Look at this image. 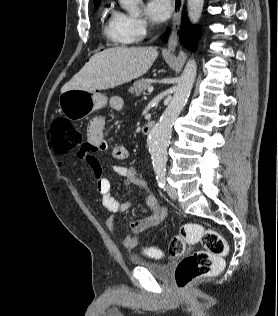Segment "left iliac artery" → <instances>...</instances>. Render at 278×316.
Segmentation results:
<instances>
[{
	"label": "left iliac artery",
	"instance_id": "left-iliac-artery-1",
	"mask_svg": "<svg viewBox=\"0 0 278 316\" xmlns=\"http://www.w3.org/2000/svg\"><path fill=\"white\" fill-rule=\"evenodd\" d=\"M156 180L160 188L165 190L166 169L164 167L156 168Z\"/></svg>",
	"mask_w": 278,
	"mask_h": 316
}]
</instances>
